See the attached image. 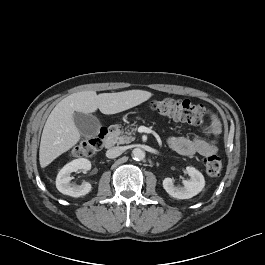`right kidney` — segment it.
<instances>
[{
	"mask_svg": "<svg viewBox=\"0 0 265 265\" xmlns=\"http://www.w3.org/2000/svg\"><path fill=\"white\" fill-rule=\"evenodd\" d=\"M91 162L85 158L75 159L67 163L58 173L56 178V187L59 192L72 197H80L88 194L92 186L88 182H83L81 185L71 184L72 177L70 174L78 170H90Z\"/></svg>",
	"mask_w": 265,
	"mask_h": 265,
	"instance_id": "obj_1",
	"label": "right kidney"
}]
</instances>
